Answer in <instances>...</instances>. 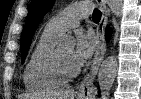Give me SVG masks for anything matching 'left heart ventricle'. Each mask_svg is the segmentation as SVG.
I'll return each mask as SVG.
<instances>
[{
	"mask_svg": "<svg viewBox=\"0 0 141 99\" xmlns=\"http://www.w3.org/2000/svg\"><path fill=\"white\" fill-rule=\"evenodd\" d=\"M58 55L59 58L62 62V64L68 68V69H72L75 68L72 64V60H71V55H72V49L69 47H61L58 48Z\"/></svg>",
	"mask_w": 141,
	"mask_h": 99,
	"instance_id": "obj_1",
	"label": "left heart ventricle"
}]
</instances>
